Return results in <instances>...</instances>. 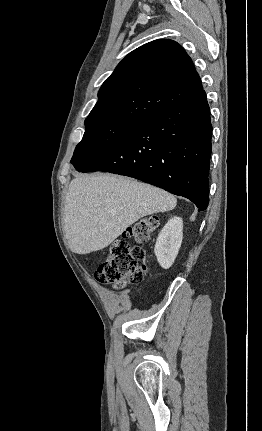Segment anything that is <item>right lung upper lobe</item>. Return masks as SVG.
<instances>
[{
    "label": "right lung upper lobe",
    "instance_id": "obj_1",
    "mask_svg": "<svg viewBox=\"0 0 262 431\" xmlns=\"http://www.w3.org/2000/svg\"><path fill=\"white\" fill-rule=\"evenodd\" d=\"M203 91L191 58L160 39L129 53L105 80L85 124L140 122Z\"/></svg>",
    "mask_w": 262,
    "mask_h": 431
}]
</instances>
